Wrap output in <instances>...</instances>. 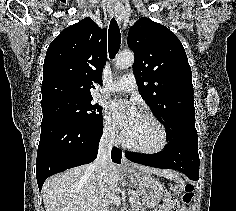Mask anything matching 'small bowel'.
Instances as JSON below:
<instances>
[{
  "label": "small bowel",
  "instance_id": "small-bowel-1",
  "mask_svg": "<svg viewBox=\"0 0 236 211\" xmlns=\"http://www.w3.org/2000/svg\"><path fill=\"white\" fill-rule=\"evenodd\" d=\"M153 211H177L174 206L169 201H164L161 206ZM178 211H188L187 208H181Z\"/></svg>",
  "mask_w": 236,
  "mask_h": 211
}]
</instances>
